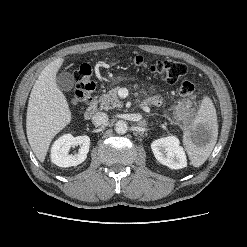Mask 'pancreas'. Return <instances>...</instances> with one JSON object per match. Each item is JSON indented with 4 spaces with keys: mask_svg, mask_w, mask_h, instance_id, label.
<instances>
[{
    "mask_svg": "<svg viewBox=\"0 0 247 247\" xmlns=\"http://www.w3.org/2000/svg\"><path fill=\"white\" fill-rule=\"evenodd\" d=\"M118 90L119 87L113 88L100 97L99 102L102 110L121 108L123 106L118 97Z\"/></svg>",
    "mask_w": 247,
    "mask_h": 247,
    "instance_id": "1",
    "label": "pancreas"
}]
</instances>
